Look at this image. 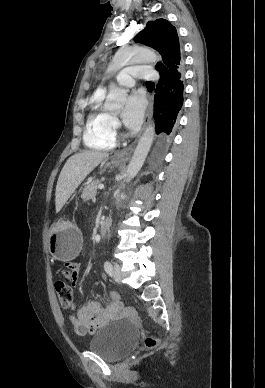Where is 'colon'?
Returning a JSON list of instances; mask_svg holds the SVG:
<instances>
[{"label": "colon", "mask_w": 265, "mask_h": 388, "mask_svg": "<svg viewBox=\"0 0 265 388\" xmlns=\"http://www.w3.org/2000/svg\"><path fill=\"white\" fill-rule=\"evenodd\" d=\"M55 290L58 296L59 303L63 307H69L73 301L72 287L64 280H59L55 283ZM109 298L115 304L122 303V297L119 292L111 291L108 293ZM158 345V339L152 336L145 338V346L148 349H153Z\"/></svg>", "instance_id": "1"}]
</instances>
